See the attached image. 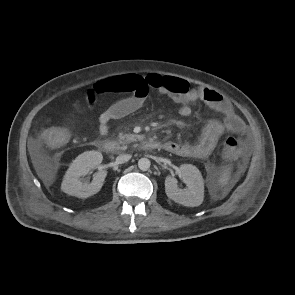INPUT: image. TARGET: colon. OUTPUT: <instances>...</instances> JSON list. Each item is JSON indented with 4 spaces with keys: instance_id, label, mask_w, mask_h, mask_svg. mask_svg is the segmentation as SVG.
<instances>
[{
    "instance_id": "1",
    "label": "colon",
    "mask_w": 295,
    "mask_h": 295,
    "mask_svg": "<svg viewBox=\"0 0 295 295\" xmlns=\"http://www.w3.org/2000/svg\"><path fill=\"white\" fill-rule=\"evenodd\" d=\"M86 100L92 105L95 102V94L92 91L88 92ZM43 139L51 147H61L67 142L68 134L60 128H49L43 132ZM223 153L226 158L239 160L241 164H244L246 161V150L242 141L237 137L232 136L225 140Z\"/></svg>"
}]
</instances>
